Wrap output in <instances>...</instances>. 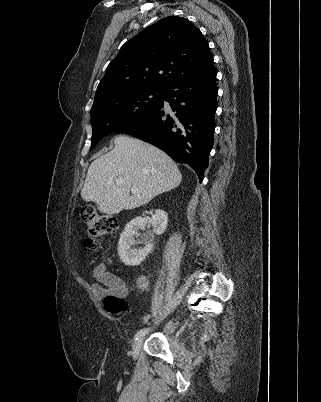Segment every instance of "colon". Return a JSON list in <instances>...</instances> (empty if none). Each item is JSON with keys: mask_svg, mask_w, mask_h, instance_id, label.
Instances as JSON below:
<instances>
[{"mask_svg": "<svg viewBox=\"0 0 321 402\" xmlns=\"http://www.w3.org/2000/svg\"><path fill=\"white\" fill-rule=\"evenodd\" d=\"M80 218L88 230L85 245L88 248H97L100 241L116 233L118 220L111 215L101 214L93 207H86L80 211ZM107 310L113 314L123 313L127 310L126 302L122 297L109 296L105 300Z\"/></svg>", "mask_w": 321, "mask_h": 402, "instance_id": "obj_1", "label": "colon"}]
</instances>
